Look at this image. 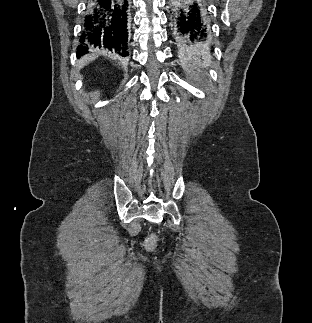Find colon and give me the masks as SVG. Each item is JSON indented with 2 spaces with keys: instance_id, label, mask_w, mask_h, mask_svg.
Returning <instances> with one entry per match:
<instances>
[{
  "instance_id": "1",
  "label": "colon",
  "mask_w": 312,
  "mask_h": 323,
  "mask_svg": "<svg viewBox=\"0 0 312 323\" xmlns=\"http://www.w3.org/2000/svg\"><path fill=\"white\" fill-rule=\"evenodd\" d=\"M156 245H157V238L149 237V238L146 239L145 247L147 249L153 250V249H155Z\"/></svg>"
}]
</instances>
